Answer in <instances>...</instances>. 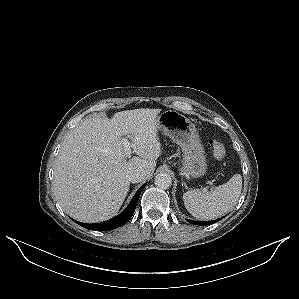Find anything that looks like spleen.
Masks as SVG:
<instances>
[{
	"label": "spleen",
	"mask_w": 299,
	"mask_h": 299,
	"mask_svg": "<svg viewBox=\"0 0 299 299\" xmlns=\"http://www.w3.org/2000/svg\"><path fill=\"white\" fill-rule=\"evenodd\" d=\"M242 190V177L235 174L230 180L212 191L193 189L183 194L187 211L197 219H214L236 204Z\"/></svg>",
	"instance_id": "spleen-1"
}]
</instances>
